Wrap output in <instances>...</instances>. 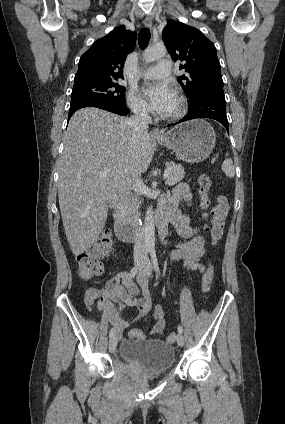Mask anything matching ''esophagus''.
Instances as JSON below:
<instances>
[{
	"label": "esophagus",
	"mask_w": 285,
	"mask_h": 424,
	"mask_svg": "<svg viewBox=\"0 0 285 424\" xmlns=\"http://www.w3.org/2000/svg\"><path fill=\"white\" fill-rule=\"evenodd\" d=\"M144 25L147 28H152V18H151V16L147 15L145 17ZM151 135L153 137H162L163 132L159 128H153L152 131H151Z\"/></svg>",
	"instance_id": "esophagus-1"
}]
</instances>
